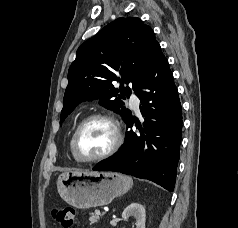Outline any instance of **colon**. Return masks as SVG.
<instances>
[{"label": "colon", "mask_w": 238, "mask_h": 228, "mask_svg": "<svg viewBox=\"0 0 238 228\" xmlns=\"http://www.w3.org/2000/svg\"><path fill=\"white\" fill-rule=\"evenodd\" d=\"M75 214V209L69 206L58 207L52 210L53 220L62 228L73 227Z\"/></svg>", "instance_id": "5ec220e1"}]
</instances>
